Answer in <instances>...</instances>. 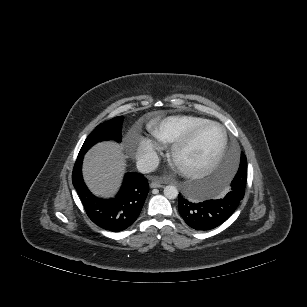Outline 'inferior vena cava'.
Wrapping results in <instances>:
<instances>
[{
  "instance_id": "602c4592",
  "label": "inferior vena cava",
  "mask_w": 307,
  "mask_h": 307,
  "mask_svg": "<svg viewBox=\"0 0 307 307\" xmlns=\"http://www.w3.org/2000/svg\"><path fill=\"white\" fill-rule=\"evenodd\" d=\"M159 164V158L156 154L143 155L137 160V169L141 173L154 171Z\"/></svg>"
}]
</instances>
